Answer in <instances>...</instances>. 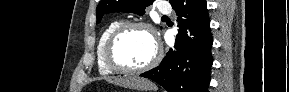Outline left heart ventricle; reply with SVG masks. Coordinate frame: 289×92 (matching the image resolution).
I'll return each mask as SVG.
<instances>
[{"instance_id": "left-heart-ventricle-1", "label": "left heart ventricle", "mask_w": 289, "mask_h": 92, "mask_svg": "<svg viewBox=\"0 0 289 92\" xmlns=\"http://www.w3.org/2000/svg\"><path fill=\"white\" fill-rule=\"evenodd\" d=\"M154 53V40L151 34L142 28H134L126 32L115 49L117 60L133 68L147 64Z\"/></svg>"}]
</instances>
